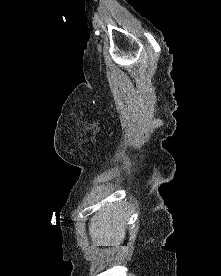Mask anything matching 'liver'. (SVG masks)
<instances>
[{
	"label": "liver",
	"mask_w": 221,
	"mask_h": 276,
	"mask_svg": "<svg viewBox=\"0 0 221 276\" xmlns=\"http://www.w3.org/2000/svg\"><path fill=\"white\" fill-rule=\"evenodd\" d=\"M129 215L127 207L120 202L108 204L100 209L89 224V235L93 245L118 246L123 243Z\"/></svg>",
	"instance_id": "obj_1"
}]
</instances>
